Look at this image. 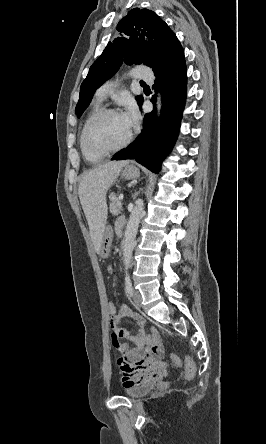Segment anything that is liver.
I'll return each instance as SVG.
<instances>
[{
	"mask_svg": "<svg viewBox=\"0 0 266 444\" xmlns=\"http://www.w3.org/2000/svg\"><path fill=\"white\" fill-rule=\"evenodd\" d=\"M126 164L127 160L100 165L84 173L79 183L80 203L97 253L101 250L108 215L106 193Z\"/></svg>",
	"mask_w": 266,
	"mask_h": 444,
	"instance_id": "obj_1",
	"label": "liver"
}]
</instances>
